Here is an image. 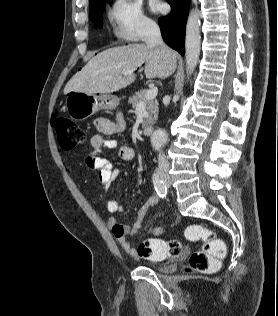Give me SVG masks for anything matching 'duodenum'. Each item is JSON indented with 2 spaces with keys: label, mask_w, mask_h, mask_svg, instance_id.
Segmentation results:
<instances>
[{
  "label": "duodenum",
  "mask_w": 278,
  "mask_h": 316,
  "mask_svg": "<svg viewBox=\"0 0 278 316\" xmlns=\"http://www.w3.org/2000/svg\"><path fill=\"white\" fill-rule=\"evenodd\" d=\"M154 131V127L152 125H148V126H145L144 129H143V133L144 135H151Z\"/></svg>",
  "instance_id": "410a0bca"
}]
</instances>
